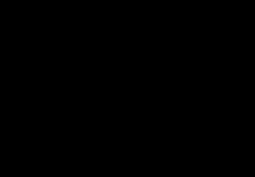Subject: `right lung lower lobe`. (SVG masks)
<instances>
[{
  "instance_id": "obj_1",
  "label": "right lung lower lobe",
  "mask_w": 255,
  "mask_h": 177,
  "mask_svg": "<svg viewBox=\"0 0 255 177\" xmlns=\"http://www.w3.org/2000/svg\"><path fill=\"white\" fill-rule=\"evenodd\" d=\"M118 108L112 101L98 97L60 106L50 113V119L62 137L78 148L87 149L105 134Z\"/></svg>"
}]
</instances>
